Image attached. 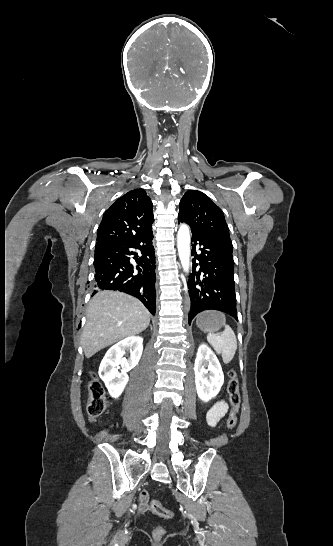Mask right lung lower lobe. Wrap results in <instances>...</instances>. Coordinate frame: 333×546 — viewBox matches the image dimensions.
Returning <instances> with one entry per match:
<instances>
[{
  "label": "right lung lower lobe",
  "mask_w": 333,
  "mask_h": 546,
  "mask_svg": "<svg viewBox=\"0 0 333 546\" xmlns=\"http://www.w3.org/2000/svg\"><path fill=\"white\" fill-rule=\"evenodd\" d=\"M153 232L98 241L95 246V290H118L137 297L155 315ZM136 250V251H134Z\"/></svg>",
  "instance_id": "obj_1"
}]
</instances>
